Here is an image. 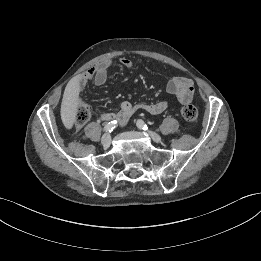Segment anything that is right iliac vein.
<instances>
[{
	"label": "right iliac vein",
	"instance_id": "obj_1",
	"mask_svg": "<svg viewBox=\"0 0 261 261\" xmlns=\"http://www.w3.org/2000/svg\"><path fill=\"white\" fill-rule=\"evenodd\" d=\"M101 144L104 146V147H109L110 144H111V136L109 133H106L102 136L101 138Z\"/></svg>",
	"mask_w": 261,
	"mask_h": 261
}]
</instances>
